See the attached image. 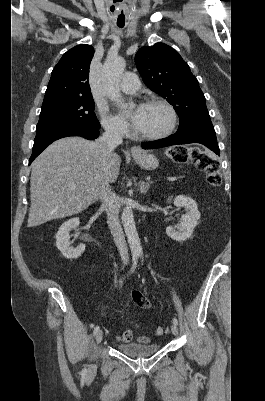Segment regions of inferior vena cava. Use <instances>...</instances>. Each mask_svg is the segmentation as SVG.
<instances>
[{
	"instance_id": "1",
	"label": "inferior vena cava",
	"mask_w": 265,
	"mask_h": 401,
	"mask_svg": "<svg viewBox=\"0 0 265 401\" xmlns=\"http://www.w3.org/2000/svg\"><path fill=\"white\" fill-rule=\"evenodd\" d=\"M104 128L105 132L103 136H100L99 142L104 144L107 152H113L114 148L122 142V128L120 124H105ZM96 194L101 198L102 205L106 209L107 223L121 259H129L127 243L118 217L120 207L116 192L111 190L109 182H103L101 186H98Z\"/></svg>"
}]
</instances>
